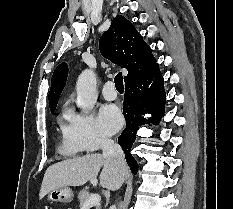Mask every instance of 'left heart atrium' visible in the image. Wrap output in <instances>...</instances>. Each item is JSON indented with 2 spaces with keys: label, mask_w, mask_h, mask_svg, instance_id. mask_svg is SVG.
I'll use <instances>...</instances> for the list:
<instances>
[{
  "label": "left heart atrium",
  "mask_w": 233,
  "mask_h": 209,
  "mask_svg": "<svg viewBox=\"0 0 233 209\" xmlns=\"http://www.w3.org/2000/svg\"><path fill=\"white\" fill-rule=\"evenodd\" d=\"M122 121V116L117 106L106 104L101 108L98 116V124L105 133H115L121 127Z\"/></svg>",
  "instance_id": "1"
}]
</instances>
